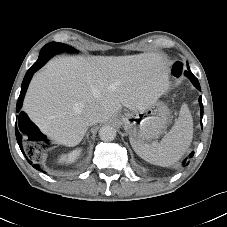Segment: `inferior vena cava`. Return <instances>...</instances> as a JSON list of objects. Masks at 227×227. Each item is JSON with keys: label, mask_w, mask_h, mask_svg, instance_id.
<instances>
[{"label": "inferior vena cava", "mask_w": 227, "mask_h": 227, "mask_svg": "<svg viewBox=\"0 0 227 227\" xmlns=\"http://www.w3.org/2000/svg\"><path fill=\"white\" fill-rule=\"evenodd\" d=\"M86 116L89 125H93L98 122V113L95 110L88 111Z\"/></svg>", "instance_id": "obj_1"}]
</instances>
